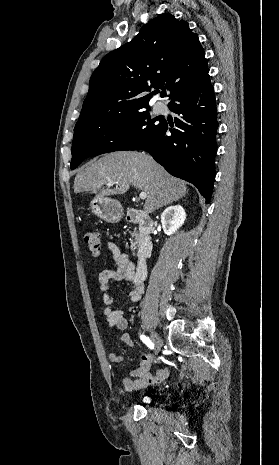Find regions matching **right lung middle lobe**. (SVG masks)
<instances>
[{
  "label": "right lung middle lobe",
  "instance_id": "right-lung-middle-lobe-1",
  "mask_svg": "<svg viewBox=\"0 0 279 465\" xmlns=\"http://www.w3.org/2000/svg\"><path fill=\"white\" fill-rule=\"evenodd\" d=\"M141 109L107 118L98 124L77 125L74 128L71 169L85 158L124 150L128 146L149 143L162 129L165 121L155 123L148 111Z\"/></svg>",
  "mask_w": 279,
  "mask_h": 465
}]
</instances>
